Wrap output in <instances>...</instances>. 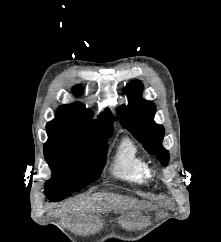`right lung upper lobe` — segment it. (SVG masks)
<instances>
[{"mask_svg": "<svg viewBox=\"0 0 221 242\" xmlns=\"http://www.w3.org/2000/svg\"><path fill=\"white\" fill-rule=\"evenodd\" d=\"M81 88L76 87L74 92L80 93ZM92 112L81 103L62 106L58 109L56 117L46 126L49 131H70L91 138H106L113 134V123L110 111L107 109L96 121L91 119Z\"/></svg>", "mask_w": 221, "mask_h": 242, "instance_id": "1", "label": "right lung upper lobe"}]
</instances>
